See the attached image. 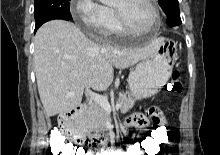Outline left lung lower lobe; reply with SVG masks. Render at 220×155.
Wrapping results in <instances>:
<instances>
[{"instance_id":"obj_1","label":"left lung lower lobe","mask_w":220,"mask_h":155,"mask_svg":"<svg viewBox=\"0 0 220 155\" xmlns=\"http://www.w3.org/2000/svg\"><path fill=\"white\" fill-rule=\"evenodd\" d=\"M167 24L170 27L180 25L181 24L180 14H175L167 17Z\"/></svg>"}]
</instances>
